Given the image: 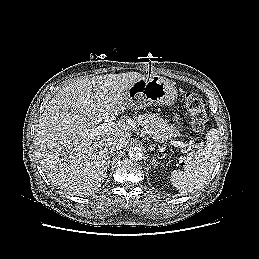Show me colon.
<instances>
[{
	"label": "colon",
	"instance_id": "1",
	"mask_svg": "<svg viewBox=\"0 0 259 259\" xmlns=\"http://www.w3.org/2000/svg\"><path fill=\"white\" fill-rule=\"evenodd\" d=\"M184 102L191 114L192 128L195 132H201L207 122V114L201 97L196 93L184 94Z\"/></svg>",
	"mask_w": 259,
	"mask_h": 259
}]
</instances>
